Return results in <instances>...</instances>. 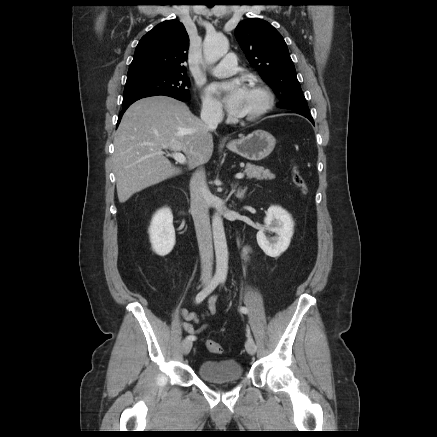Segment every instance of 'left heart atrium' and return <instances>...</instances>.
I'll return each instance as SVG.
<instances>
[{
    "instance_id": "39dd6f15",
    "label": "left heart atrium",
    "mask_w": 437,
    "mask_h": 437,
    "mask_svg": "<svg viewBox=\"0 0 437 437\" xmlns=\"http://www.w3.org/2000/svg\"><path fill=\"white\" fill-rule=\"evenodd\" d=\"M246 89L247 88L239 81L215 83L210 86V91L218 94L227 111L234 115L240 110Z\"/></svg>"
}]
</instances>
